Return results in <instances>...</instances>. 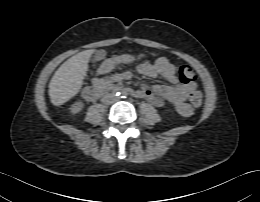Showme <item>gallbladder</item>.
<instances>
[{
  "mask_svg": "<svg viewBox=\"0 0 260 202\" xmlns=\"http://www.w3.org/2000/svg\"><path fill=\"white\" fill-rule=\"evenodd\" d=\"M104 58V52L103 51H98L97 53H95V55L93 56L92 62L95 63L98 60H101Z\"/></svg>",
  "mask_w": 260,
  "mask_h": 202,
  "instance_id": "gallbladder-1",
  "label": "gallbladder"
}]
</instances>
